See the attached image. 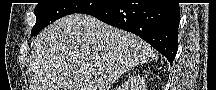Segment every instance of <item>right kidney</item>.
<instances>
[{
  "label": "right kidney",
  "mask_w": 216,
  "mask_h": 90,
  "mask_svg": "<svg viewBox=\"0 0 216 90\" xmlns=\"http://www.w3.org/2000/svg\"><path fill=\"white\" fill-rule=\"evenodd\" d=\"M125 88H127V90H128V88H130V86H128V84H126Z\"/></svg>",
  "instance_id": "obj_1"
}]
</instances>
